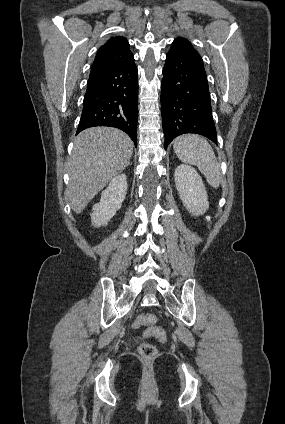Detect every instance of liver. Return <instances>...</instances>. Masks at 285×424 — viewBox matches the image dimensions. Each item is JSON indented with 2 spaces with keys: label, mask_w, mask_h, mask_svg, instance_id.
I'll return each mask as SVG.
<instances>
[{
  "label": "liver",
  "mask_w": 285,
  "mask_h": 424,
  "mask_svg": "<svg viewBox=\"0 0 285 424\" xmlns=\"http://www.w3.org/2000/svg\"><path fill=\"white\" fill-rule=\"evenodd\" d=\"M133 142L111 127H92L79 133L69 163L68 197L77 214L110 180L130 163Z\"/></svg>",
  "instance_id": "liver-1"
}]
</instances>
